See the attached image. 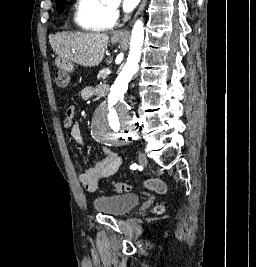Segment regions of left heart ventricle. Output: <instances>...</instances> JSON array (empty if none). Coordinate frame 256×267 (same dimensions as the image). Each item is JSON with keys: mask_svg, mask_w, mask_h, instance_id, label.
Segmentation results:
<instances>
[{"mask_svg": "<svg viewBox=\"0 0 256 267\" xmlns=\"http://www.w3.org/2000/svg\"><path fill=\"white\" fill-rule=\"evenodd\" d=\"M100 25L102 26L100 30L106 32L112 28L113 22L111 20H107V21L102 22Z\"/></svg>", "mask_w": 256, "mask_h": 267, "instance_id": "obj_1", "label": "left heart ventricle"}]
</instances>
